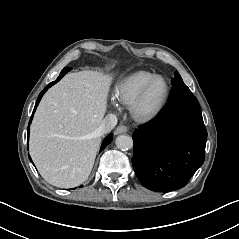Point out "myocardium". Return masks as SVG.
I'll return each instance as SVG.
<instances>
[{
    "instance_id": "1",
    "label": "myocardium",
    "mask_w": 239,
    "mask_h": 239,
    "mask_svg": "<svg viewBox=\"0 0 239 239\" xmlns=\"http://www.w3.org/2000/svg\"><path fill=\"white\" fill-rule=\"evenodd\" d=\"M164 80L166 83V93L165 96L163 98V100L161 101L160 105L157 107V109L155 111H153L152 113L146 114L142 111V105L145 101V98L150 90V88L152 87V85L158 81V80ZM170 95H171V86L169 81L167 80V78L163 77V76H155L153 77L143 88L142 90L139 92V94L136 96V98L133 100L131 107H130V111L131 114L133 116V118L141 123H150L155 121L156 119H158L162 113L164 112L169 99H170Z\"/></svg>"
}]
</instances>
